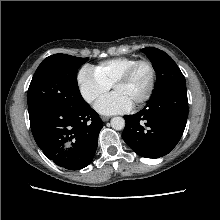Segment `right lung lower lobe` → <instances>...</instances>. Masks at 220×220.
I'll use <instances>...</instances> for the list:
<instances>
[{
	"label": "right lung lower lobe",
	"instance_id": "right-lung-lower-lobe-1",
	"mask_svg": "<svg viewBox=\"0 0 220 220\" xmlns=\"http://www.w3.org/2000/svg\"><path fill=\"white\" fill-rule=\"evenodd\" d=\"M29 119L37 145L58 166L79 170L93 159L103 123L88 104L75 110L51 107Z\"/></svg>",
	"mask_w": 220,
	"mask_h": 220
}]
</instances>
